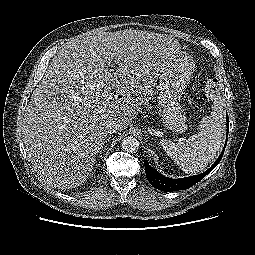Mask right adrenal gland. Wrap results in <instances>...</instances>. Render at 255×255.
<instances>
[{
	"instance_id": "right-adrenal-gland-1",
	"label": "right adrenal gland",
	"mask_w": 255,
	"mask_h": 255,
	"mask_svg": "<svg viewBox=\"0 0 255 255\" xmlns=\"http://www.w3.org/2000/svg\"><path fill=\"white\" fill-rule=\"evenodd\" d=\"M107 141H109V138H107V139L105 140V143H106ZM102 151H103V148L100 150L99 154H101Z\"/></svg>"
}]
</instances>
